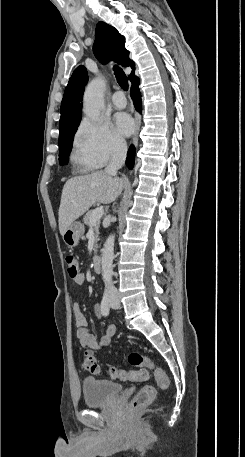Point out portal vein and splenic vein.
Segmentation results:
<instances>
[{
	"label": "portal vein and splenic vein",
	"mask_w": 245,
	"mask_h": 457,
	"mask_svg": "<svg viewBox=\"0 0 245 457\" xmlns=\"http://www.w3.org/2000/svg\"><path fill=\"white\" fill-rule=\"evenodd\" d=\"M102 214H104V208H102V206H98V208H94V210L91 214V220H98V218H101Z\"/></svg>",
	"instance_id": "18ae733b"
}]
</instances>
